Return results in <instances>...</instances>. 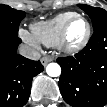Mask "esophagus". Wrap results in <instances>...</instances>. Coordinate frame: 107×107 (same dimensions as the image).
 <instances>
[{
  "label": "esophagus",
  "instance_id": "34e87169",
  "mask_svg": "<svg viewBox=\"0 0 107 107\" xmlns=\"http://www.w3.org/2000/svg\"><path fill=\"white\" fill-rule=\"evenodd\" d=\"M53 60V58H51V57H42L41 58V63H42V65H46V64H48L49 62H51Z\"/></svg>",
  "mask_w": 107,
  "mask_h": 107
}]
</instances>
